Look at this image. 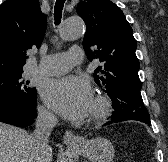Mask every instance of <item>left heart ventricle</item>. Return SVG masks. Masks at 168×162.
I'll return each mask as SVG.
<instances>
[{
	"label": "left heart ventricle",
	"instance_id": "b2bd125f",
	"mask_svg": "<svg viewBox=\"0 0 168 162\" xmlns=\"http://www.w3.org/2000/svg\"><path fill=\"white\" fill-rule=\"evenodd\" d=\"M94 109H95V104H94V101H93V104H92V108H91V112H90V114H92V112L94 111Z\"/></svg>",
	"mask_w": 168,
	"mask_h": 162
}]
</instances>
